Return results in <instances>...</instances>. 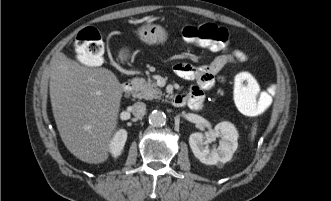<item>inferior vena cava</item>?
Returning a JSON list of instances; mask_svg holds the SVG:
<instances>
[{
	"mask_svg": "<svg viewBox=\"0 0 331 201\" xmlns=\"http://www.w3.org/2000/svg\"><path fill=\"white\" fill-rule=\"evenodd\" d=\"M131 112L136 117H141L146 112V104L143 102H136L131 107Z\"/></svg>",
	"mask_w": 331,
	"mask_h": 201,
	"instance_id": "obj_1",
	"label": "inferior vena cava"
}]
</instances>
